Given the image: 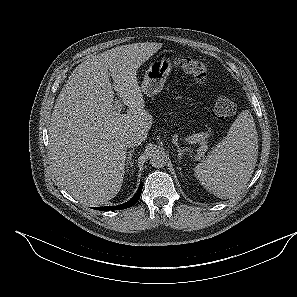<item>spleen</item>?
Returning <instances> with one entry per match:
<instances>
[{"label": "spleen", "instance_id": "obj_1", "mask_svg": "<svg viewBox=\"0 0 297 297\" xmlns=\"http://www.w3.org/2000/svg\"><path fill=\"white\" fill-rule=\"evenodd\" d=\"M258 155V134L248 110L242 111L227 136L194 168V175L209 192L226 199L245 188Z\"/></svg>", "mask_w": 297, "mask_h": 297}]
</instances>
